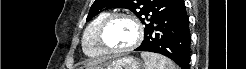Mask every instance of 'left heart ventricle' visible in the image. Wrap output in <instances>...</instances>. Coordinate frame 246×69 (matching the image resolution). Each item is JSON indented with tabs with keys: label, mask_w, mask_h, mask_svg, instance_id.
I'll return each mask as SVG.
<instances>
[{
	"label": "left heart ventricle",
	"mask_w": 246,
	"mask_h": 69,
	"mask_svg": "<svg viewBox=\"0 0 246 69\" xmlns=\"http://www.w3.org/2000/svg\"><path fill=\"white\" fill-rule=\"evenodd\" d=\"M136 39L134 24L123 18L114 20L104 34L105 42L112 48L122 49L130 46Z\"/></svg>",
	"instance_id": "b2bd125f"
}]
</instances>
